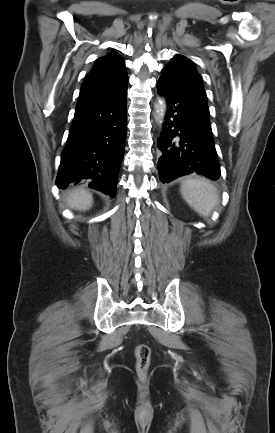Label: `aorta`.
Masks as SVG:
<instances>
[{
    "instance_id": "762f6f07",
    "label": "aorta",
    "mask_w": 275,
    "mask_h": 433,
    "mask_svg": "<svg viewBox=\"0 0 275 433\" xmlns=\"http://www.w3.org/2000/svg\"><path fill=\"white\" fill-rule=\"evenodd\" d=\"M166 111V100L163 97H159L154 105V118L158 124H162L164 122Z\"/></svg>"
}]
</instances>
